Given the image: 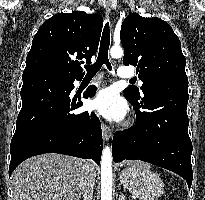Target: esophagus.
<instances>
[{"mask_svg": "<svg viewBox=\"0 0 205 200\" xmlns=\"http://www.w3.org/2000/svg\"><path fill=\"white\" fill-rule=\"evenodd\" d=\"M111 5L110 3H107L106 4V12L108 14L111 13ZM101 128H102V134H103V138L105 141H108L111 137H112V132H111V129L105 124L102 122L101 124Z\"/></svg>", "mask_w": 205, "mask_h": 200, "instance_id": "34e87169", "label": "esophagus"}]
</instances>
